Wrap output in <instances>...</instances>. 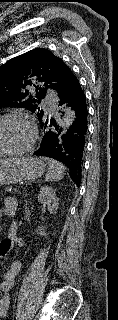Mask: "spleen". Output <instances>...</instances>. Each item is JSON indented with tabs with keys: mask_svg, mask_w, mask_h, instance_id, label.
Returning <instances> with one entry per match:
<instances>
[{
	"mask_svg": "<svg viewBox=\"0 0 118 320\" xmlns=\"http://www.w3.org/2000/svg\"><path fill=\"white\" fill-rule=\"evenodd\" d=\"M42 160L48 165L46 181H59L63 178L66 168L62 163L48 157H42Z\"/></svg>",
	"mask_w": 118,
	"mask_h": 320,
	"instance_id": "3e777b00",
	"label": "spleen"
}]
</instances>
